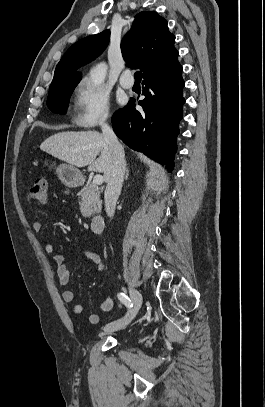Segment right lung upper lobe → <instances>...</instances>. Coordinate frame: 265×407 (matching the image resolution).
<instances>
[{"label":"right lung upper lobe","instance_id":"cb5924a9","mask_svg":"<svg viewBox=\"0 0 265 407\" xmlns=\"http://www.w3.org/2000/svg\"><path fill=\"white\" fill-rule=\"evenodd\" d=\"M168 22L153 11L136 15L132 29L121 43V50L127 66L138 68L143 76L174 53L175 37L167 27ZM110 32L105 30L73 44L56 66L51 83L78 82L82 78L76 70L91 62L106 48Z\"/></svg>","mask_w":265,"mask_h":407}]
</instances>
